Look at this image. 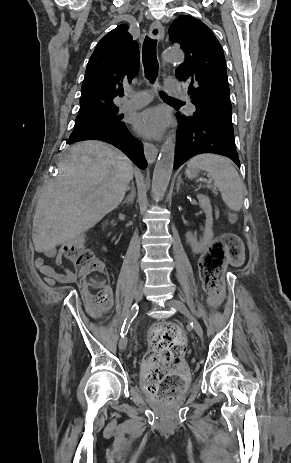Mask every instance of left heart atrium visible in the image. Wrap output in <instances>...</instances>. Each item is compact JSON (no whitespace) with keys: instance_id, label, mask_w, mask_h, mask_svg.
<instances>
[{"instance_id":"39dd6f15","label":"left heart atrium","mask_w":291,"mask_h":463,"mask_svg":"<svg viewBox=\"0 0 291 463\" xmlns=\"http://www.w3.org/2000/svg\"><path fill=\"white\" fill-rule=\"evenodd\" d=\"M133 124L139 134L156 138L162 134L166 127L167 115L159 107L148 108L135 116Z\"/></svg>"}]
</instances>
